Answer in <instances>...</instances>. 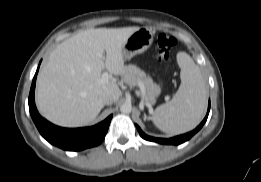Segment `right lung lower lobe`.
<instances>
[{"label":"right lung lower lobe","mask_w":261,"mask_h":182,"mask_svg":"<svg viewBox=\"0 0 261 182\" xmlns=\"http://www.w3.org/2000/svg\"><path fill=\"white\" fill-rule=\"evenodd\" d=\"M37 73L38 69L29 94V110L40 134L49 143L68 151H79L99 145L105 138L113 115L92 127L68 129L53 125L40 116L35 105L34 91Z\"/></svg>","instance_id":"98d812e1"}]
</instances>
